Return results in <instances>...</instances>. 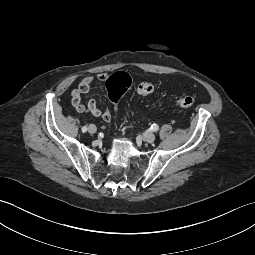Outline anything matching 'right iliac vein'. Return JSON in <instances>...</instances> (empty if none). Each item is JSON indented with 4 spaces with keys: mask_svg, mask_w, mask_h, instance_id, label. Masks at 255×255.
<instances>
[{
    "mask_svg": "<svg viewBox=\"0 0 255 255\" xmlns=\"http://www.w3.org/2000/svg\"><path fill=\"white\" fill-rule=\"evenodd\" d=\"M88 131H89L90 134H94V133H96L97 128L94 124H90L89 127H88Z\"/></svg>",
    "mask_w": 255,
    "mask_h": 255,
    "instance_id": "63e3f726",
    "label": "right iliac vein"
}]
</instances>
